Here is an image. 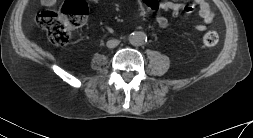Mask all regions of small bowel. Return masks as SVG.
Segmentation results:
<instances>
[{
  "instance_id": "c3829d8e",
  "label": "small bowel",
  "mask_w": 253,
  "mask_h": 138,
  "mask_svg": "<svg viewBox=\"0 0 253 138\" xmlns=\"http://www.w3.org/2000/svg\"><path fill=\"white\" fill-rule=\"evenodd\" d=\"M198 6V16L201 19V23L195 26V29L202 32L206 29L207 25L214 20V13L210 8V5L206 0H193ZM56 0H41L42 7H51L55 4ZM143 2L154 12H156V23L160 28H166L168 26V19L160 11L169 12L173 18L183 12L185 14H191L194 11V6L185 2H172V1H159V0H143Z\"/></svg>"
}]
</instances>
